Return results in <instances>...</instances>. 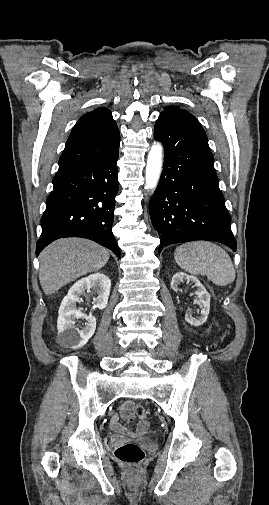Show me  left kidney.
<instances>
[{
  "label": "left kidney",
  "mask_w": 269,
  "mask_h": 505,
  "mask_svg": "<svg viewBox=\"0 0 269 505\" xmlns=\"http://www.w3.org/2000/svg\"><path fill=\"white\" fill-rule=\"evenodd\" d=\"M183 280H187V282H192L196 286L197 290L195 291V294L198 297V304L201 308L200 311V316L198 317H192L190 313H186L185 315V320L189 324L193 326H200L204 324L208 318V314L210 311V294L207 292L205 287L200 283L198 278L195 276L188 275L184 272H177L176 274L173 275L172 280H171V288L174 291L178 290V286L180 282H183Z\"/></svg>",
  "instance_id": "1"
}]
</instances>
